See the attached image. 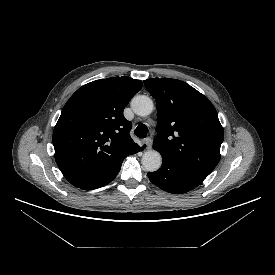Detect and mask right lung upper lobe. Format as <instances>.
<instances>
[{
	"label": "right lung upper lobe",
	"mask_w": 275,
	"mask_h": 275,
	"mask_svg": "<svg viewBox=\"0 0 275 275\" xmlns=\"http://www.w3.org/2000/svg\"><path fill=\"white\" fill-rule=\"evenodd\" d=\"M142 88L127 76L80 87L65 104L53 131L55 160L64 177L81 187L110 174L139 146L123 110Z\"/></svg>",
	"instance_id": "right-lung-upper-lobe-1"
}]
</instances>
